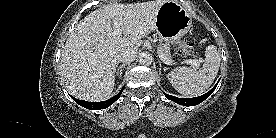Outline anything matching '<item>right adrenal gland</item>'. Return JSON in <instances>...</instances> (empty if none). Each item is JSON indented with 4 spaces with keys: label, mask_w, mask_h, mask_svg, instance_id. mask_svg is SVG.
<instances>
[{
    "label": "right adrenal gland",
    "mask_w": 276,
    "mask_h": 138,
    "mask_svg": "<svg viewBox=\"0 0 276 138\" xmlns=\"http://www.w3.org/2000/svg\"><path fill=\"white\" fill-rule=\"evenodd\" d=\"M128 65V63H123V64H121L118 68H117V75H119V78L121 77V75H122V69L125 67V66H127Z\"/></svg>",
    "instance_id": "obj_1"
}]
</instances>
